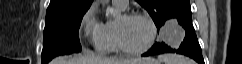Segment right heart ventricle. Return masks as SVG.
I'll use <instances>...</instances> for the list:
<instances>
[{"mask_svg":"<svg viewBox=\"0 0 242 64\" xmlns=\"http://www.w3.org/2000/svg\"><path fill=\"white\" fill-rule=\"evenodd\" d=\"M118 10L120 9L118 8ZM95 45L101 52H112L118 49L115 21L109 20L104 24V33L97 39Z\"/></svg>","mask_w":242,"mask_h":64,"instance_id":"right-heart-ventricle-1","label":"right heart ventricle"}]
</instances>
